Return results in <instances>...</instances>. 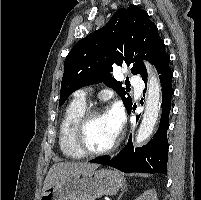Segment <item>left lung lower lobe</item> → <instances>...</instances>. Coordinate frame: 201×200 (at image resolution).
<instances>
[{"label": "left lung lower lobe", "instance_id": "0a47b994", "mask_svg": "<svg viewBox=\"0 0 201 200\" xmlns=\"http://www.w3.org/2000/svg\"><path fill=\"white\" fill-rule=\"evenodd\" d=\"M170 57L165 52L155 64L160 74L162 87V114L158 131L147 145L134 150L131 136L127 145L116 156H103L91 160V163H99L119 169L125 173H160L167 174V129L169 127V112L171 109V97L174 93L172 88L173 73L169 67ZM147 82V74L142 77ZM145 92V91H144ZM132 109V108H131ZM131 109L128 112L131 113Z\"/></svg>", "mask_w": 201, "mask_h": 200}]
</instances>
